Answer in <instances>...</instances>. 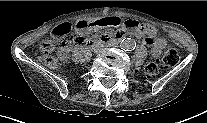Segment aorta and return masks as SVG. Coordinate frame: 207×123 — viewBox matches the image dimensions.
Masks as SVG:
<instances>
[{
  "mask_svg": "<svg viewBox=\"0 0 207 123\" xmlns=\"http://www.w3.org/2000/svg\"><path fill=\"white\" fill-rule=\"evenodd\" d=\"M136 46V42L132 38H125L121 41V48L130 51L133 50Z\"/></svg>",
  "mask_w": 207,
  "mask_h": 123,
  "instance_id": "aorta-1",
  "label": "aorta"
}]
</instances>
